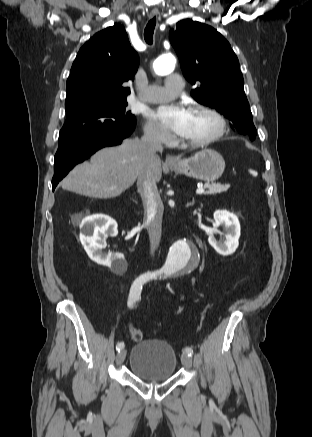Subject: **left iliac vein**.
Wrapping results in <instances>:
<instances>
[{
	"instance_id": "1",
	"label": "left iliac vein",
	"mask_w": 312,
	"mask_h": 437,
	"mask_svg": "<svg viewBox=\"0 0 312 437\" xmlns=\"http://www.w3.org/2000/svg\"><path fill=\"white\" fill-rule=\"evenodd\" d=\"M181 362H182V364H183L186 368H188V369H190V368L192 367V359H191V357H190L188 354H186V353H183V354H182V356H181Z\"/></svg>"
}]
</instances>
